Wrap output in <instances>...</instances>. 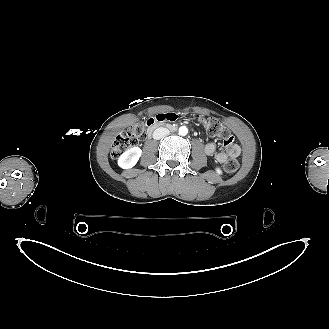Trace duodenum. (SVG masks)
Masks as SVG:
<instances>
[{"instance_id":"1","label":"duodenum","mask_w":329,"mask_h":329,"mask_svg":"<svg viewBox=\"0 0 329 329\" xmlns=\"http://www.w3.org/2000/svg\"><path fill=\"white\" fill-rule=\"evenodd\" d=\"M166 124H167V122L159 123V122L155 121V122L153 123L152 127L149 129V131H148V133H147V137L150 138L151 135H152V133H153V131H154L156 128H158V127H160V126H163V125H166Z\"/></svg>"}]
</instances>
